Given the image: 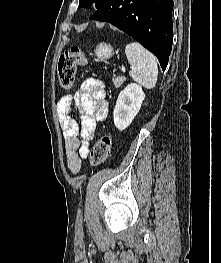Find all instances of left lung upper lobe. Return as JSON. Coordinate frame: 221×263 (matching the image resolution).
<instances>
[{
    "instance_id": "1",
    "label": "left lung upper lobe",
    "mask_w": 221,
    "mask_h": 263,
    "mask_svg": "<svg viewBox=\"0 0 221 263\" xmlns=\"http://www.w3.org/2000/svg\"><path fill=\"white\" fill-rule=\"evenodd\" d=\"M105 0H80L79 6L90 8L93 3H95L96 8L101 6Z\"/></svg>"
}]
</instances>
